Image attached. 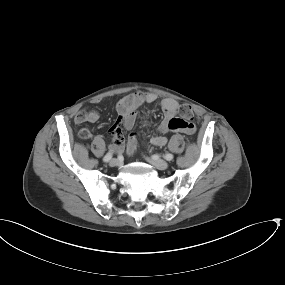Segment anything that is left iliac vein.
Returning a JSON list of instances; mask_svg holds the SVG:
<instances>
[{
  "instance_id": "left-iliac-vein-1",
  "label": "left iliac vein",
  "mask_w": 285,
  "mask_h": 285,
  "mask_svg": "<svg viewBox=\"0 0 285 285\" xmlns=\"http://www.w3.org/2000/svg\"><path fill=\"white\" fill-rule=\"evenodd\" d=\"M147 161L150 164L154 165L159 170H165L168 168V163L165 160L160 159L156 156H152L151 158H147Z\"/></svg>"
}]
</instances>
